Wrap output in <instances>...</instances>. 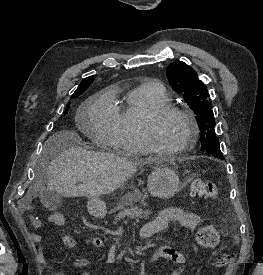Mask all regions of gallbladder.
<instances>
[{
  "mask_svg": "<svg viewBox=\"0 0 263 275\" xmlns=\"http://www.w3.org/2000/svg\"><path fill=\"white\" fill-rule=\"evenodd\" d=\"M40 201L50 211H55L61 206V196L51 190H44L40 195Z\"/></svg>",
  "mask_w": 263,
  "mask_h": 275,
  "instance_id": "1",
  "label": "gallbladder"
}]
</instances>
